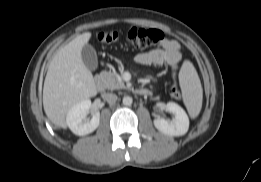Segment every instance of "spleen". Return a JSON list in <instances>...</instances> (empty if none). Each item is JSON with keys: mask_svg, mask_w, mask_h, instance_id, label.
Returning a JSON list of instances; mask_svg holds the SVG:
<instances>
[{"mask_svg": "<svg viewBox=\"0 0 261 182\" xmlns=\"http://www.w3.org/2000/svg\"><path fill=\"white\" fill-rule=\"evenodd\" d=\"M183 101L191 118H196L202 107L203 89L197 71L190 61H184L179 72Z\"/></svg>", "mask_w": 261, "mask_h": 182, "instance_id": "spleen-1", "label": "spleen"}]
</instances>
